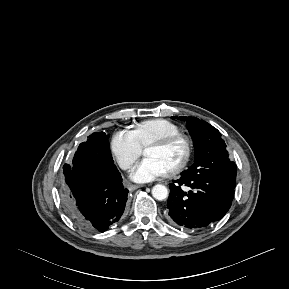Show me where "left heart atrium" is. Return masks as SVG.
<instances>
[{
    "instance_id": "left-heart-atrium-1",
    "label": "left heart atrium",
    "mask_w": 289,
    "mask_h": 289,
    "mask_svg": "<svg viewBox=\"0 0 289 289\" xmlns=\"http://www.w3.org/2000/svg\"><path fill=\"white\" fill-rule=\"evenodd\" d=\"M167 170L153 158H145L131 172V178L137 182H149L164 176Z\"/></svg>"
}]
</instances>
